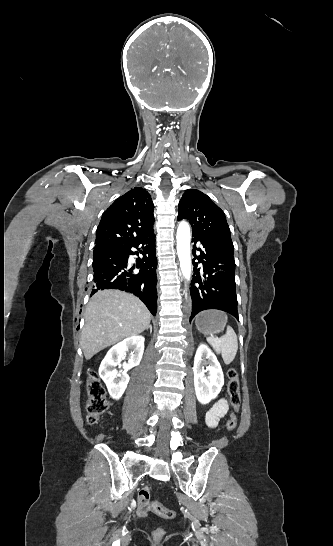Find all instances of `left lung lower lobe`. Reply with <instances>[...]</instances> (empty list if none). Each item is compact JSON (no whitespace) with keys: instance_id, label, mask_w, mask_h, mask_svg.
I'll return each instance as SVG.
<instances>
[{"instance_id":"obj_1","label":"left lung lower lobe","mask_w":333,"mask_h":546,"mask_svg":"<svg viewBox=\"0 0 333 546\" xmlns=\"http://www.w3.org/2000/svg\"><path fill=\"white\" fill-rule=\"evenodd\" d=\"M194 272L190 294L192 311L190 321L203 310L218 309L233 315L237 320V296L235 284V261L230 245L218 239L192 231ZM196 243L200 245L196 247ZM196 251L200 255H196ZM198 260V262H195ZM220 262L226 263V269H219ZM202 263V267H198ZM200 271L204 279L200 278ZM207 275V276H206Z\"/></svg>"}]
</instances>
